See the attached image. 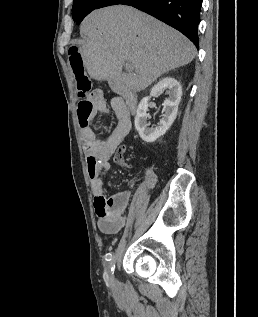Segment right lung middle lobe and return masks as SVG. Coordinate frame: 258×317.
<instances>
[{
	"instance_id": "dd1d6c3e",
	"label": "right lung middle lobe",
	"mask_w": 258,
	"mask_h": 317,
	"mask_svg": "<svg viewBox=\"0 0 258 317\" xmlns=\"http://www.w3.org/2000/svg\"><path fill=\"white\" fill-rule=\"evenodd\" d=\"M86 2L87 0H74L72 7V17L74 21H76L80 11L82 10Z\"/></svg>"
}]
</instances>
